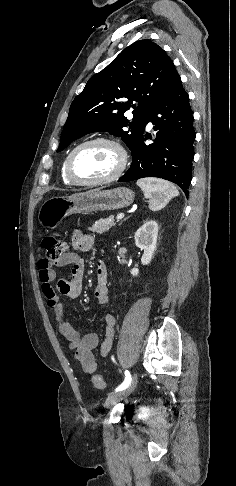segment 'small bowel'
I'll use <instances>...</instances> for the list:
<instances>
[{"label":"small bowel","instance_id":"1","mask_svg":"<svg viewBox=\"0 0 236 486\" xmlns=\"http://www.w3.org/2000/svg\"><path fill=\"white\" fill-rule=\"evenodd\" d=\"M94 243L93 236L81 230H75L72 235V247L75 251H89L94 247ZM55 266H71V277L69 279H58L56 288L52 285V282L56 279ZM39 269L41 289L47 300L48 308L55 316L60 333L68 341L69 348L74 352V358L83 372L92 374L97 369V362L93 350L99 345V337L96 333L79 334L72 324L64 319V304L60 299V295L70 299H76L81 295L85 270L84 260L80 258L77 252H67L55 262L42 259L39 264ZM96 277L97 283L94 296L97 303L105 307L109 304V296L107 287L108 273L103 261L97 263ZM104 323L105 338L100 344V354L102 357H106L112 348L114 327L116 324L115 316L111 313H106Z\"/></svg>","mask_w":236,"mask_h":486}]
</instances>
